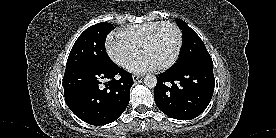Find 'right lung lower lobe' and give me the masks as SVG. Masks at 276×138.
<instances>
[{
    "mask_svg": "<svg viewBox=\"0 0 276 138\" xmlns=\"http://www.w3.org/2000/svg\"><path fill=\"white\" fill-rule=\"evenodd\" d=\"M132 85V75L114 63L66 68L63 79L65 101L70 110L95 126L119 118L129 103Z\"/></svg>",
    "mask_w": 276,
    "mask_h": 138,
    "instance_id": "right-lung-lower-lobe-1",
    "label": "right lung lower lobe"
}]
</instances>
